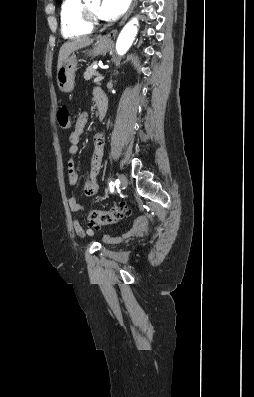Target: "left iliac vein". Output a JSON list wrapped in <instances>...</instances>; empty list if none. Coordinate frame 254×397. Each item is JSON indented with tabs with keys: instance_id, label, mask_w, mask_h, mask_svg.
Here are the masks:
<instances>
[{
	"instance_id": "left-iliac-vein-1",
	"label": "left iliac vein",
	"mask_w": 254,
	"mask_h": 397,
	"mask_svg": "<svg viewBox=\"0 0 254 397\" xmlns=\"http://www.w3.org/2000/svg\"><path fill=\"white\" fill-rule=\"evenodd\" d=\"M119 181H120V185L123 189H125L128 186V180L127 177L124 174H119L118 175Z\"/></svg>"
}]
</instances>
